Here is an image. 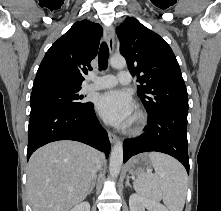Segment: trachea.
Masks as SVG:
<instances>
[{"label":"trachea","mask_w":221,"mask_h":211,"mask_svg":"<svg viewBox=\"0 0 221 211\" xmlns=\"http://www.w3.org/2000/svg\"><path fill=\"white\" fill-rule=\"evenodd\" d=\"M108 57H109L108 45L105 42H102L98 56L99 70L107 69Z\"/></svg>","instance_id":"3493384b"}]
</instances>
